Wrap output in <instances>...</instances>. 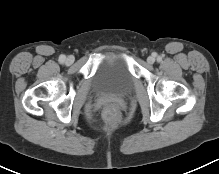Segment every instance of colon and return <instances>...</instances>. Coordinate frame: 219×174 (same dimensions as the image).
Returning <instances> with one entry per match:
<instances>
[{
  "label": "colon",
  "mask_w": 219,
  "mask_h": 174,
  "mask_svg": "<svg viewBox=\"0 0 219 174\" xmlns=\"http://www.w3.org/2000/svg\"><path fill=\"white\" fill-rule=\"evenodd\" d=\"M103 117L109 124H116L120 119V110L116 104L110 103L103 110Z\"/></svg>",
  "instance_id": "obj_1"
}]
</instances>
